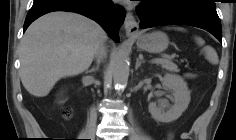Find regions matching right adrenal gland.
I'll use <instances>...</instances> for the list:
<instances>
[{
	"label": "right adrenal gland",
	"mask_w": 236,
	"mask_h": 140,
	"mask_svg": "<svg viewBox=\"0 0 236 140\" xmlns=\"http://www.w3.org/2000/svg\"><path fill=\"white\" fill-rule=\"evenodd\" d=\"M99 65H100V60L97 61L96 66L93 67L89 72H96L99 69Z\"/></svg>",
	"instance_id": "2a0ac1e0"
}]
</instances>
